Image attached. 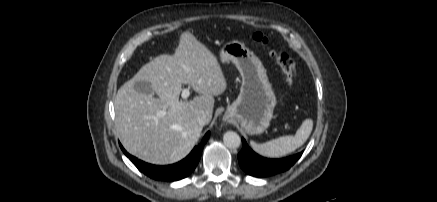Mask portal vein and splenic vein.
<instances>
[{
  "label": "portal vein and splenic vein",
  "instance_id": "18ae733b",
  "mask_svg": "<svg viewBox=\"0 0 437 202\" xmlns=\"http://www.w3.org/2000/svg\"><path fill=\"white\" fill-rule=\"evenodd\" d=\"M189 95H190V91H189V88H185V89H183V91H182V98L183 99H186V98H188L189 97ZM161 114H164V111H161Z\"/></svg>",
  "mask_w": 437,
  "mask_h": 202
}]
</instances>
